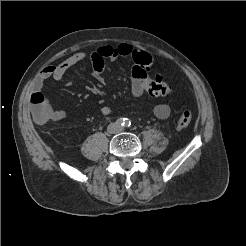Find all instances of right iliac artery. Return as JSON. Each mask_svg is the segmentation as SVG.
<instances>
[{
  "mask_svg": "<svg viewBox=\"0 0 246 246\" xmlns=\"http://www.w3.org/2000/svg\"><path fill=\"white\" fill-rule=\"evenodd\" d=\"M117 126H124V118H119L116 120Z\"/></svg>",
  "mask_w": 246,
  "mask_h": 246,
  "instance_id": "1",
  "label": "right iliac artery"
}]
</instances>
